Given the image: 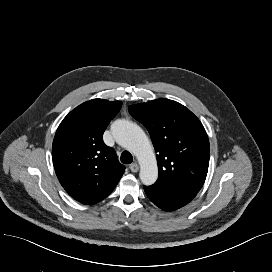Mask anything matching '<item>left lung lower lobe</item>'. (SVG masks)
<instances>
[{"mask_svg": "<svg viewBox=\"0 0 272 272\" xmlns=\"http://www.w3.org/2000/svg\"><path fill=\"white\" fill-rule=\"evenodd\" d=\"M144 190L148 198L165 211H174L185 206L198 193L180 185L158 182L149 187L144 186Z\"/></svg>", "mask_w": 272, "mask_h": 272, "instance_id": "obj_1", "label": "left lung lower lobe"}]
</instances>
